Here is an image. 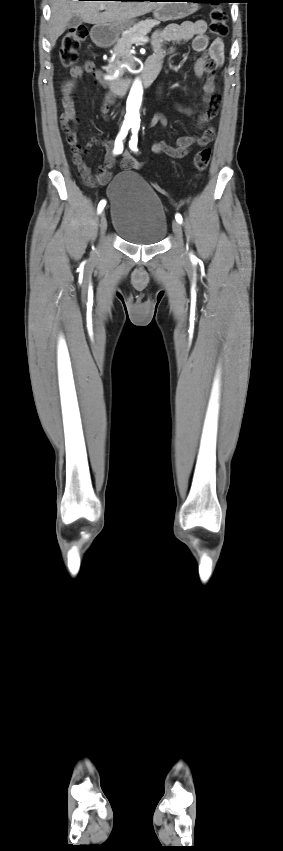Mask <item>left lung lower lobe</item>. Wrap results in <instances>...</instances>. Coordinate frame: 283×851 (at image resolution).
I'll use <instances>...</instances> for the list:
<instances>
[{
	"label": "left lung lower lobe",
	"instance_id": "left-lung-lower-lobe-1",
	"mask_svg": "<svg viewBox=\"0 0 283 851\" xmlns=\"http://www.w3.org/2000/svg\"><path fill=\"white\" fill-rule=\"evenodd\" d=\"M197 2H211L213 4H218L219 2H230V1H222V0H196Z\"/></svg>",
	"mask_w": 283,
	"mask_h": 851
}]
</instances>
